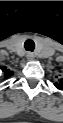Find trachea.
<instances>
[{"mask_svg":"<svg viewBox=\"0 0 63 123\" xmlns=\"http://www.w3.org/2000/svg\"><path fill=\"white\" fill-rule=\"evenodd\" d=\"M24 47L27 51L33 52L34 48H35V43L33 40L28 39L25 41L24 43Z\"/></svg>","mask_w":63,"mask_h":123,"instance_id":"1","label":"trachea"}]
</instances>
